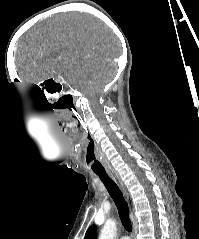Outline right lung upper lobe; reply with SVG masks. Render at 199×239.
Listing matches in <instances>:
<instances>
[{
  "label": "right lung upper lobe",
  "mask_w": 199,
  "mask_h": 239,
  "mask_svg": "<svg viewBox=\"0 0 199 239\" xmlns=\"http://www.w3.org/2000/svg\"><path fill=\"white\" fill-rule=\"evenodd\" d=\"M97 229L95 225H92L86 232L84 239H96Z\"/></svg>",
  "instance_id": "obj_1"
}]
</instances>
